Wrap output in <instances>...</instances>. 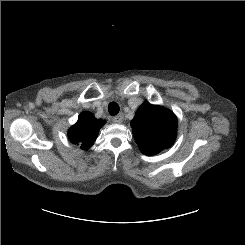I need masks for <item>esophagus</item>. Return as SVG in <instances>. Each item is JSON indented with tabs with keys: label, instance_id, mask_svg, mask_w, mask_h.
<instances>
[{
	"label": "esophagus",
	"instance_id": "esophagus-1",
	"mask_svg": "<svg viewBox=\"0 0 245 245\" xmlns=\"http://www.w3.org/2000/svg\"><path fill=\"white\" fill-rule=\"evenodd\" d=\"M114 123L120 124L123 122L124 118L122 114H118L112 118Z\"/></svg>",
	"mask_w": 245,
	"mask_h": 245
}]
</instances>
